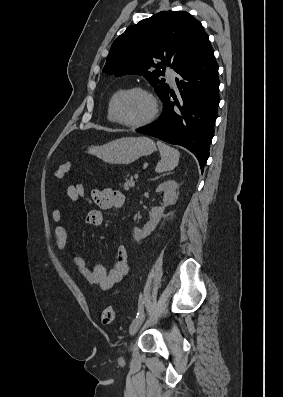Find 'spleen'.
I'll list each match as a JSON object with an SVG mask.
<instances>
[{
  "label": "spleen",
  "mask_w": 283,
  "mask_h": 397,
  "mask_svg": "<svg viewBox=\"0 0 283 397\" xmlns=\"http://www.w3.org/2000/svg\"><path fill=\"white\" fill-rule=\"evenodd\" d=\"M161 160L158 162L155 171L158 173L173 170L179 163L180 153L173 147L157 141Z\"/></svg>",
  "instance_id": "spleen-1"
}]
</instances>
